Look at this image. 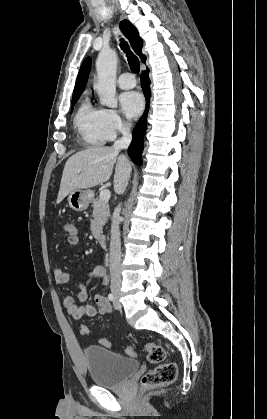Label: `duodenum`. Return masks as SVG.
<instances>
[{"instance_id": "1", "label": "duodenum", "mask_w": 267, "mask_h": 419, "mask_svg": "<svg viewBox=\"0 0 267 419\" xmlns=\"http://www.w3.org/2000/svg\"><path fill=\"white\" fill-rule=\"evenodd\" d=\"M97 239H98V242H99V244L101 246H105L106 245L107 239H106V235L105 234H99Z\"/></svg>"}]
</instances>
